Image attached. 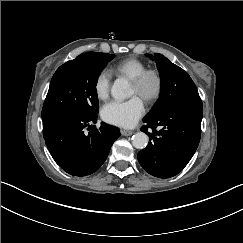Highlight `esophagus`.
Listing matches in <instances>:
<instances>
[{
	"label": "esophagus",
	"instance_id": "esophagus-1",
	"mask_svg": "<svg viewBox=\"0 0 243 243\" xmlns=\"http://www.w3.org/2000/svg\"><path fill=\"white\" fill-rule=\"evenodd\" d=\"M121 134L123 136H131L133 134V131H130V130H121Z\"/></svg>",
	"mask_w": 243,
	"mask_h": 243
}]
</instances>
